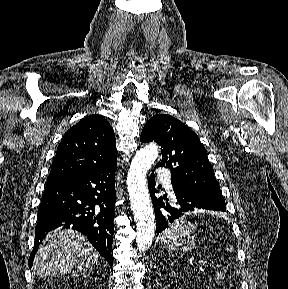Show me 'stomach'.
I'll use <instances>...</instances> for the list:
<instances>
[{"label":"stomach","mask_w":288,"mask_h":289,"mask_svg":"<svg viewBox=\"0 0 288 289\" xmlns=\"http://www.w3.org/2000/svg\"><path fill=\"white\" fill-rule=\"evenodd\" d=\"M196 246V238L194 235L188 234L185 235L176 241L166 244V247L169 250H182V251H190Z\"/></svg>","instance_id":"obj_1"}]
</instances>
